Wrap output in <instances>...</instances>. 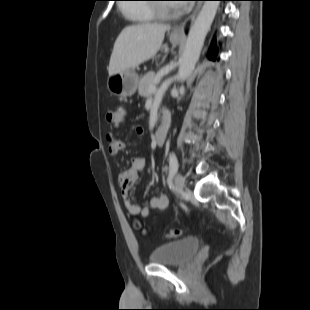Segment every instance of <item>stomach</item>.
Returning <instances> with one entry per match:
<instances>
[{
	"mask_svg": "<svg viewBox=\"0 0 310 310\" xmlns=\"http://www.w3.org/2000/svg\"><path fill=\"white\" fill-rule=\"evenodd\" d=\"M170 41L173 45H177L181 42V38L171 35ZM138 82L139 78L134 70L128 69L110 75L107 79V88L119 97H130L136 92Z\"/></svg>",
	"mask_w": 310,
	"mask_h": 310,
	"instance_id": "obj_1",
	"label": "stomach"
}]
</instances>
